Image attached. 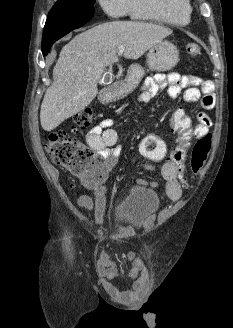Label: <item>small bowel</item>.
Segmentation results:
<instances>
[{
	"label": "small bowel",
	"mask_w": 233,
	"mask_h": 328,
	"mask_svg": "<svg viewBox=\"0 0 233 328\" xmlns=\"http://www.w3.org/2000/svg\"><path fill=\"white\" fill-rule=\"evenodd\" d=\"M167 89L170 97H177L184 90V99L189 103L201 102L204 109H212L215 105L214 84L210 80H205L194 75H179L177 73L157 74L152 79L147 80L145 89L140 95V100L147 102L154 98L159 91ZM113 120L103 119L94 126L86 135L85 142L95 150L104 161V176L113 170L116 165L120 149L116 146L117 132L112 128ZM211 126L210 117L205 112L197 115V124L194 126L193 137L199 139L208 134ZM144 169H152V165L140 163ZM161 176L165 181V191L171 200H178L182 195L181 172L170 161H166L161 169ZM103 178L86 184L87 195L77 198V205L86 211H93L95 220L101 222L106 208V187L103 185ZM138 184L145 185L144 179H138ZM152 186H157V182H152ZM131 270L128 274L133 284L131 288L116 286L112 283L118 270L112 259L103 253L98 261V270L101 283L105 291L116 301L122 303L134 302L142 299L148 291L149 275L148 270L139 256L132 253L127 255Z\"/></svg>",
	"instance_id": "1"
}]
</instances>
